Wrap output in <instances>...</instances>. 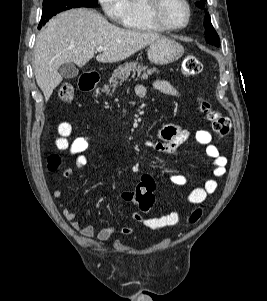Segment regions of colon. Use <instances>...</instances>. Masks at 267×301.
<instances>
[{"instance_id":"obj_1","label":"colon","mask_w":267,"mask_h":301,"mask_svg":"<svg viewBox=\"0 0 267 301\" xmlns=\"http://www.w3.org/2000/svg\"><path fill=\"white\" fill-rule=\"evenodd\" d=\"M202 71V64L194 55H186L181 62V73L186 77H193ZM58 96L62 101H71L74 98V87L65 83L60 86ZM200 109L204 112L208 120L212 124L213 130L221 137L226 136L230 131L229 120L221 115L219 112L212 109L211 104L205 100H200ZM61 164V159L58 155H51L48 158V167L50 170H56ZM156 183L154 178L149 174L141 176L135 191V202L138 207L147 212L153 206L155 201L154 191ZM201 209L194 210L190 217L189 222L195 223L201 216Z\"/></svg>"}]
</instances>
